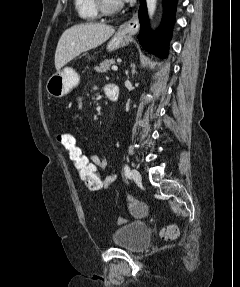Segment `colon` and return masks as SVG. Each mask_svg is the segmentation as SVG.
I'll return each instance as SVG.
<instances>
[{
    "mask_svg": "<svg viewBox=\"0 0 240 287\" xmlns=\"http://www.w3.org/2000/svg\"><path fill=\"white\" fill-rule=\"evenodd\" d=\"M56 141L66 154V157L76 172L79 179L91 190L99 191L103 187V176L98 171L97 166L90 160L89 155L85 154L78 146L75 137L67 132L58 133ZM144 215L138 212L137 216ZM126 221L124 217H118L116 222L123 224ZM179 234L176 225H169L161 231L164 239H175Z\"/></svg>",
    "mask_w": 240,
    "mask_h": 287,
    "instance_id": "colon-1",
    "label": "colon"
}]
</instances>
